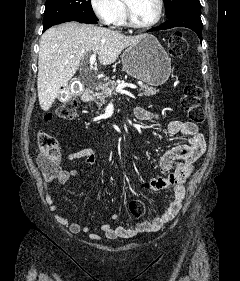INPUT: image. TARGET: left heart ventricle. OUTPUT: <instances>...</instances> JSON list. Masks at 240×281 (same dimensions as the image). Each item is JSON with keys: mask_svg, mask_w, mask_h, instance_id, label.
<instances>
[{"mask_svg": "<svg viewBox=\"0 0 240 281\" xmlns=\"http://www.w3.org/2000/svg\"><path fill=\"white\" fill-rule=\"evenodd\" d=\"M133 11L135 21L148 23L152 21L157 13V0H128Z\"/></svg>", "mask_w": 240, "mask_h": 281, "instance_id": "b2bd125f", "label": "left heart ventricle"}]
</instances>
